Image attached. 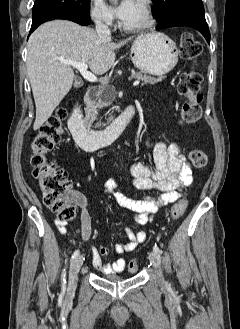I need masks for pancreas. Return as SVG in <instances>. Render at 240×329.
<instances>
[{
	"label": "pancreas",
	"mask_w": 240,
	"mask_h": 329,
	"mask_svg": "<svg viewBox=\"0 0 240 329\" xmlns=\"http://www.w3.org/2000/svg\"><path fill=\"white\" fill-rule=\"evenodd\" d=\"M132 78H136L138 80H141L142 84H155L157 82H160L162 80V76L156 78L151 77L149 75L142 74L141 72L133 73ZM86 114L90 120V123L95 121L97 119L98 110L102 109L103 107H107L111 104L112 99H107L104 93V89L101 88L96 95L93 97H86ZM101 123H97L95 127H100Z\"/></svg>",
	"instance_id": "obj_1"
}]
</instances>
